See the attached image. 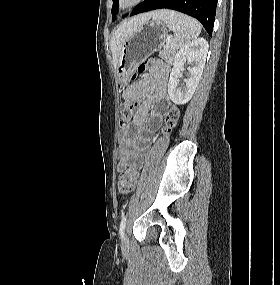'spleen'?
I'll return each mask as SVG.
<instances>
[{"instance_id": "obj_1", "label": "spleen", "mask_w": 280, "mask_h": 285, "mask_svg": "<svg viewBox=\"0 0 280 285\" xmlns=\"http://www.w3.org/2000/svg\"><path fill=\"white\" fill-rule=\"evenodd\" d=\"M153 19L162 20L173 31L171 48L174 50L195 40L201 32V25L195 19L176 11H157Z\"/></svg>"}]
</instances>
